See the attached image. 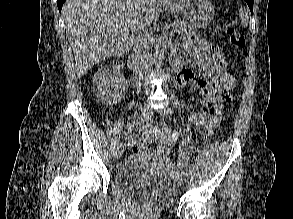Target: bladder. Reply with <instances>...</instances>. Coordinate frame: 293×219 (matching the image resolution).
Masks as SVG:
<instances>
[{
  "mask_svg": "<svg viewBox=\"0 0 293 219\" xmlns=\"http://www.w3.org/2000/svg\"><path fill=\"white\" fill-rule=\"evenodd\" d=\"M115 187L137 203L155 209L174 206L179 198L178 187L165 177H146L132 168L117 171Z\"/></svg>",
  "mask_w": 293,
  "mask_h": 219,
  "instance_id": "obj_1",
  "label": "bladder"
}]
</instances>
